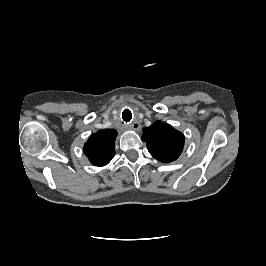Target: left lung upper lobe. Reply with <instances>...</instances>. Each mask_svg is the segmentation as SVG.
I'll use <instances>...</instances> for the list:
<instances>
[{
  "mask_svg": "<svg viewBox=\"0 0 266 266\" xmlns=\"http://www.w3.org/2000/svg\"><path fill=\"white\" fill-rule=\"evenodd\" d=\"M143 133L142 140L155 159L169 163L180 156L184 147V135L171 125L156 121L143 128Z\"/></svg>",
  "mask_w": 266,
  "mask_h": 266,
  "instance_id": "obj_1",
  "label": "left lung upper lobe"
}]
</instances>
